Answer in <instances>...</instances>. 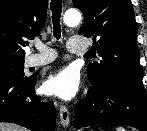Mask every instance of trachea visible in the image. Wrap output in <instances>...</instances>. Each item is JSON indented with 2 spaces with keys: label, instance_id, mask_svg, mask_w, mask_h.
<instances>
[{
  "label": "trachea",
  "instance_id": "3493384b",
  "mask_svg": "<svg viewBox=\"0 0 147 131\" xmlns=\"http://www.w3.org/2000/svg\"><path fill=\"white\" fill-rule=\"evenodd\" d=\"M50 6L52 11L53 34L55 38L60 39V18L62 13V0H51Z\"/></svg>",
  "mask_w": 147,
  "mask_h": 131
}]
</instances>
